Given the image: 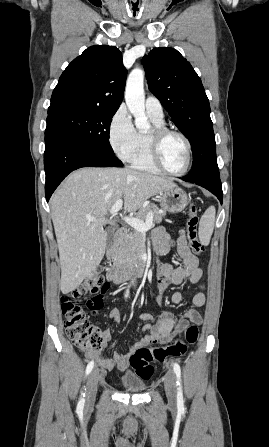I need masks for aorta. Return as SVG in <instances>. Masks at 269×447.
<instances>
[{"mask_svg": "<svg viewBox=\"0 0 269 447\" xmlns=\"http://www.w3.org/2000/svg\"><path fill=\"white\" fill-rule=\"evenodd\" d=\"M125 102L134 118L136 128L149 130L150 124L145 114L144 72L140 68H135L128 76Z\"/></svg>", "mask_w": 269, "mask_h": 447, "instance_id": "aorta-1", "label": "aorta"}]
</instances>
